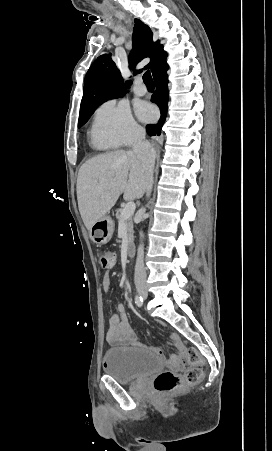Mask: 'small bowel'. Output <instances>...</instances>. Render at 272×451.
Returning <instances> with one entry per match:
<instances>
[{"instance_id":"obj_1","label":"small bowel","mask_w":272,"mask_h":451,"mask_svg":"<svg viewBox=\"0 0 272 451\" xmlns=\"http://www.w3.org/2000/svg\"><path fill=\"white\" fill-rule=\"evenodd\" d=\"M102 285L105 291L109 290L111 285V278L108 272H106L102 278ZM169 338L174 348L185 347V344L178 333H170ZM106 341L110 345L127 344L137 348L143 347V345L138 341L136 333L131 328L129 316L123 303H118L116 305V313L113 314L109 319V328L106 332ZM150 349L156 354L162 355V351L158 347L153 346L150 347Z\"/></svg>"}]
</instances>
